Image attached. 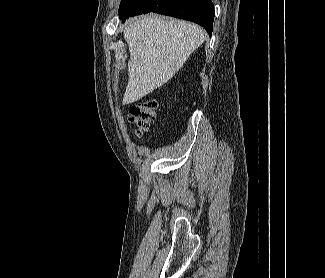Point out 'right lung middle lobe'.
<instances>
[{"mask_svg": "<svg viewBox=\"0 0 325 278\" xmlns=\"http://www.w3.org/2000/svg\"><path fill=\"white\" fill-rule=\"evenodd\" d=\"M134 1L135 0H122L119 7V17H125L129 15L134 10Z\"/></svg>", "mask_w": 325, "mask_h": 278, "instance_id": "1", "label": "right lung middle lobe"}]
</instances>
